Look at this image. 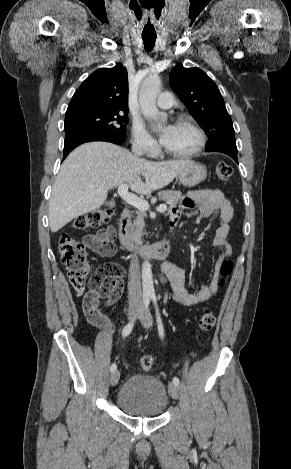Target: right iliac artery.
I'll return each instance as SVG.
<instances>
[{"instance_id": "1", "label": "right iliac artery", "mask_w": 291, "mask_h": 469, "mask_svg": "<svg viewBox=\"0 0 291 469\" xmlns=\"http://www.w3.org/2000/svg\"><path fill=\"white\" fill-rule=\"evenodd\" d=\"M150 297H151V296H149V295H144V296H143V302H144V307H145V308H148V306H149V304H150ZM133 326H134V323L131 322V323H128V324L123 328V331H122L123 337H127V336L131 333V331H132V329H133ZM116 368H117L116 364L113 363V364L111 365V367H110V371H111V372H114V371L116 370Z\"/></svg>"}]
</instances>
